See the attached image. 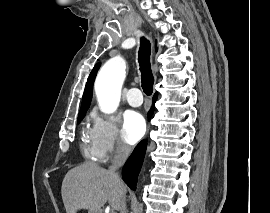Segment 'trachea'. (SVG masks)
<instances>
[{"mask_svg": "<svg viewBox=\"0 0 270 213\" xmlns=\"http://www.w3.org/2000/svg\"><path fill=\"white\" fill-rule=\"evenodd\" d=\"M150 54L151 44L146 38L142 37L138 52V62L141 71L142 89L148 96L152 94L154 84V77L150 66Z\"/></svg>", "mask_w": 270, "mask_h": 213, "instance_id": "obj_1", "label": "trachea"}]
</instances>
